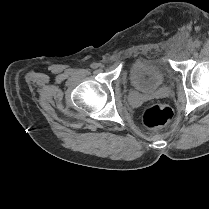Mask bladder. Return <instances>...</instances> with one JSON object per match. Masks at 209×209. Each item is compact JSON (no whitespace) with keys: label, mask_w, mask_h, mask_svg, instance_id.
I'll use <instances>...</instances> for the list:
<instances>
[{"label":"bladder","mask_w":209,"mask_h":209,"mask_svg":"<svg viewBox=\"0 0 209 209\" xmlns=\"http://www.w3.org/2000/svg\"><path fill=\"white\" fill-rule=\"evenodd\" d=\"M167 71L158 58L135 61L128 70L132 87L143 93H153L164 85Z\"/></svg>","instance_id":"1"}]
</instances>
